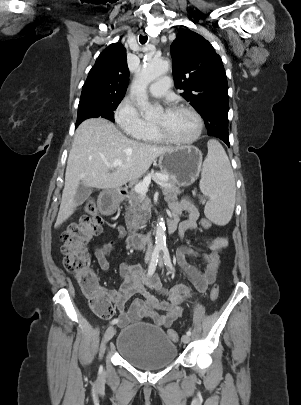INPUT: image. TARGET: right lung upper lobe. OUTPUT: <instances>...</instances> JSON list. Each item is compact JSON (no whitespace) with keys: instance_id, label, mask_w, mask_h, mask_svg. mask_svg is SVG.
<instances>
[{"instance_id":"right-lung-upper-lobe-1","label":"right lung upper lobe","mask_w":301,"mask_h":405,"mask_svg":"<svg viewBox=\"0 0 301 405\" xmlns=\"http://www.w3.org/2000/svg\"><path fill=\"white\" fill-rule=\"evenodd\" d=\"M128 80L126 49L121 43H113L97 58L82 87L81 97L124 96Z\"/></svg>"}]
</instances>
